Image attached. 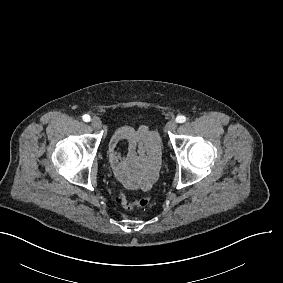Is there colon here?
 <instances>
[{"label": "colon", "mask_w": 283, "mask_h": 283, "mask_svg": "<svg viewBox=\"0 0 283 283\" xmlns=\"http://www.w3.org/2000/svg\"><path fill=\"white\" fill-rule=\"evenodd\" d=\"M126 204V207L128 209H131L133 207L146 208L150 204V198L147 196H142L137 198L134 202Z\"/></svg>", "instance_id": "1"}]
</instances>
